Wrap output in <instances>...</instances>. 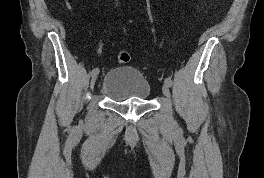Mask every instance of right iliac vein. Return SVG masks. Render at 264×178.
<instances>
[{"mask_svg": "<svg viewBox=\"0 0 264 178\" xmlns=\"http://www.w3.org/2000/svg\"><path fill=\"white\" fill-rule=\"evenodd\" d=\"M96 79H97V75H93L92 79H91V82H90L91 89H93V87L95 85V82H96Z\"/></svg>", "mask_w": 264, "mask_h": 178, "instance_id": "63e3f726", "label": "right iliac vein"}]
</instances>
